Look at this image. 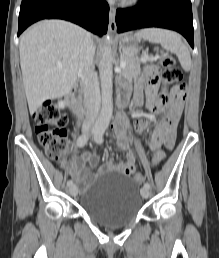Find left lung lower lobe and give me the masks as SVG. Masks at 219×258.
Instances as JSON below:
<instances>
[{
  "instance_id": "left-lung-lower-lobe-1",
  "label": "left lung lower lobe",
  "mask_w": 219,
  "mask_h": 258,
  "mask_svg": "<svg viewBox=\"0 0 219 258\" xmlns=\"http://www.w3.org/2000/svg\"><path fill=\"white\" fill-rule=\"evenodd\" d=\"M117 31L160 27L181 33L194 48L190 0H141L137 6L116 11Z\"/></svg>"
}]
</instances>
